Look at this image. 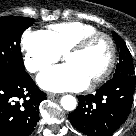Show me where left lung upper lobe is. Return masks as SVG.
Returning a JSON list of instances; mask_svg holds the SVG:
<instances>
[{"instance_id": "1", "label": "left lung upper lobe", "mask_w": 136, "mask_h": 136, "mask_svg": "<svg viewBox=\"0 0 136 136\" xmlns=\"http://www.w3.org/2000/svg\"><path fill=\"white\" fill-rule=\"evenodd\" d=\"M113 39L119 52V63L117 64L113 77L135 75L132 56L122 38L115 32H112Z\"/></svg>"}]
</instances>
